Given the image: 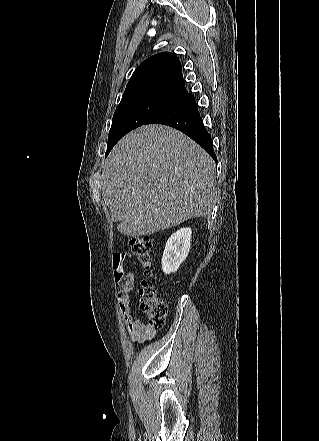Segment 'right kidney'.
Masks as SVG:
<instances>
[{"instance_id": "1", "label": "right kidney", "mask_w": 319, "mask_h": 441, "mask_svg": "<svg viewBox=\"0 0 319 441\" xmlns=\"http://www.w3.org/2000/svg\"><path fill=\"white\" fill-rule=\"evenodd\" d=\"M191 234V228L183 227L167 240L162 256L164 274L175 273L186 259L191 248Z\"/></svg>"}]
</instances>
